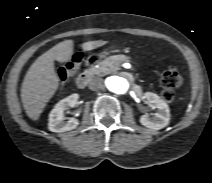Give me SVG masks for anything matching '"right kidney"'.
Here are the masks:
<instances>
[{"label":"right kidney","instance_id":"ca27d5eb","mask_svg":"<svg viewBox=\"0 0 212 183\" xmlns=\"http://www.w3.org/2000/svg\"><path fill=\"white\" fill-rule=\"evenodd\" d=\"M79 95L72 94L59 101L49 114L48 129L52 132H65L75 129L79 125V121L74 118H69L65 121L64 112L69 107L76 106Z\"/></svg>","mask_w":212,"mask_h":183}]
</instances>
